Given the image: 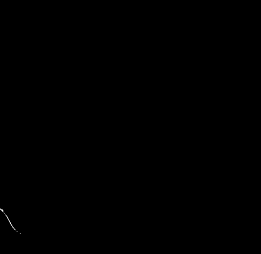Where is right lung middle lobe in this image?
<instances>
[{"mask_svg": "<svg viewBox=\"0 0 261 254\" xmlns=\"http://www.w3.org/2000/svg\"><path fill=\"white\" fill-rule=\"evenodd\" d=\"M53 110L61 122L78 125L94 139L100 136L102 129L95 121V103L90 89L75 86L66 89Z\"/></svg>", "mask_w": 261, "mask_h": 254, "instance_id": "obj_1", "label": "right lung middle lobe"}]
</instances>
